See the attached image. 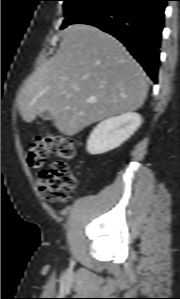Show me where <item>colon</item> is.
I'll list each match as a JSON object with an SVG mask.
<instances>
[{
    "label": "colon",
    "instance_id": "1",
    "mask_svg": "<svg viewBox=\"0 0 180 299\" xmlns=\"http://www.w3.org/2000/svg\"><path fill=\"white\" fill-rule=\"evenodd\" d=\"M50 154H55L61 160L52 163L49 169L41 172V193L50 203L64 202L78 182L66 162L75 155L73 139L55 132L41 136L29 147L27 163L34 168L41 167Z\"/></svg>",
    "mask_w": 180,
    "mask_h": 299
}]
</instances>
